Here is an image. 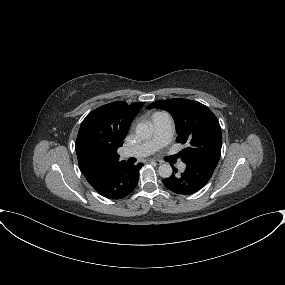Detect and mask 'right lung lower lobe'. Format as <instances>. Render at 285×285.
<instances>
[{"label": "right lung lower lobe", "instance_id": "right-lung-lower-lobe-1", "mask_svg": "<svg viewBox=\"0 0 285 285\" xmlns=\"http://www.w3.org/2000/svg\"><path fill=\"white\" fill-rule=\"evenodd\" d=\"M142 166V163L137 165L124 163L112 168L101 177L89 181V183L102 196L109 199H120L134 190Z\"/></svg>", "mask_w": 285, "mask_h": 285}]
</instances>
